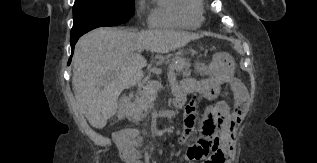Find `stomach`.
Masks as SVG:
<instances>
[{
  "label": "stomach",
  "instance_id": "stomach-1",
  "mask_svg": "<svg viewBox=\"0 0 317 163\" xmlns=\"http://www.w3.org/2000/svg\"><path fill=\"white\" fill-rule=\"evenodd\" d=\"M235 62L228 53L217 52L213 54L211 61L206 66V73L222 83L229 80L234 72Z\"/></svg>",
  "mask_w": 317,
  "mask_h": 163
}]
</instances>
